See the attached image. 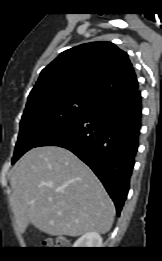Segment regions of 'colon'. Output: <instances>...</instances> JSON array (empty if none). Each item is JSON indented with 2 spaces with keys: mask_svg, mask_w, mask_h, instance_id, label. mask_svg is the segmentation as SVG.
Returning a JSON list of instances; mask_svg holds the SVG:
<instances>
[{
  "mask_svg": "<svg viewBox=\"0 0 162 261\" xmlns=\"http://www.w3.org/2000/svg\"><path fill=\"white\" fill-rule=\"evenodd\" d=\"M64 245H65V243L60 242V241H48L46 243V246H49V247H62Z\"/></svg>",
  "mask_w": 162,
  "mask_h": 261,
  "instance_id": "obj_1",
  "label": "colon"
}]
</instances>
